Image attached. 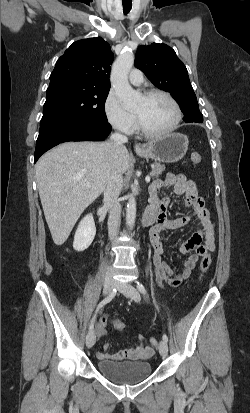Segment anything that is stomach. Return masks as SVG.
<instances>
[{"label": "stomach", "instance_id": "stomach-1", "mask_svg": "<svg viewBox=\"0 0 250 413\" xmlns=\"http://www.w3.org/2000/svg\"><path fill=\"white\" fill-rule=\"evenodd\" d=\"M188 150V138L181 133H169L150 142L137 154L159 162L174 163L184 157Z\"/></svg>", "mask_w": 250, "mask_h": 413}]
</instances>
